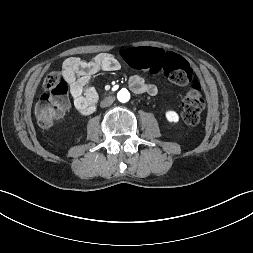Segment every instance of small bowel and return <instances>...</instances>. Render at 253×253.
Returning <instances> with one entry per match:
<instances>
[{"label":"small bowel","mask_w":253,"mask_h":253,"mask_svg":"<svg viewBox=\"0 0 253 253\" xmlns=\"http://www.w3.org/2000/svg\"><path fill=\"white\" fill-rule=\"evenodd\" d=\"M119 68L120 64L117 58L109 53H99L88 61L79 57L67 58L63 63V76L70 86V93L75 107L82 111L97 101L98 94L96 90L89 86L93 75L100 71L114 72ZM129 85L135 93H146L151 96L158 93V87L155 84L145 82L138 75L129 77Z\"/></svg>","instance_id":"c3829d8e"}]
</instances>
